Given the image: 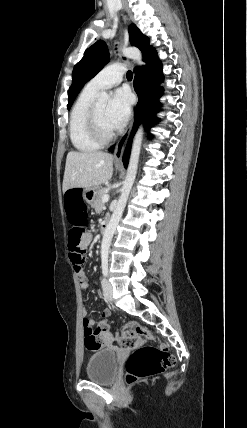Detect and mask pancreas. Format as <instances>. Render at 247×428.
Masks as SVG:
<instances>
[{"instance_id":"1","label":"pancreas","mask_w":247,"mask_h":428,"mask_svg":"<svg viewBox=\"0 0 247 428\" xmlns=\"http://www.w3.org/2000/svg\"><path fill=\"white\" fill-rule=\"evenodd\" d=\"M106 194H107V191L105 188H100L98 190L96 199H95L94 203L92 204V206L95 208L96 212L102 211V209L104 207V202L102 201V197H103V195H106Z\"/></svg>"}]
</instances>
